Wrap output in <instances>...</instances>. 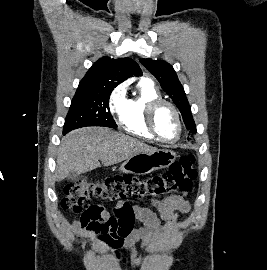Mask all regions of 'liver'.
I'll return each mask as SVG.
<instances>
[{"instance_id": "obj_1", "label": "liver", "mask_w": 267, "mask_h": 270, "mask_svg": "<svg viewBox=\"0 0 267 270\" xmlns=\"http://www.w3.org/2000/svg\"><path fill=\"white\" fill-rule=\"evenodd\" d=\"M155 150L157 148L106 127L77 129L61 140L54 177L61 181L70 172L80 174L100 167V161L111 166L138 153Z\"/></svg>"}]
</instances>
